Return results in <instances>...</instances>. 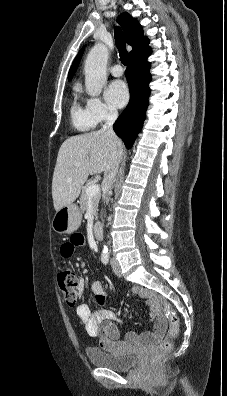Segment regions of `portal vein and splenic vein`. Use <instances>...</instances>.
Returning a JSON list of instances; mask_svg holds the SVG:
<instances>
[{
  "mask_svg": "<svg viewBox=\"0 0 227 396\" xmlns=\"http://www.w3.org/2000/svg\"><path fill=\"white\" fill-rule=\"evenodd\" d=\"M99 185L98 184H91L86 189V193L88 196L92 197L99 193Z\"/></svg>",
  "mask_w": 227,
  "mask_h": 396,
  "instance_id": "18ae733b",
  "label": "portal vein and splenic vein"
}]
</instances>
